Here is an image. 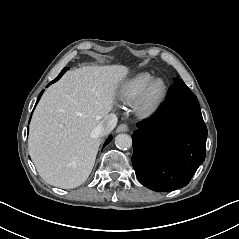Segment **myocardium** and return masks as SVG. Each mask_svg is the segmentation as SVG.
Returning <instances> with one entry per match:
<instances>
[{
  "label": "myocardium",
  "instance_id": "1",
  "mask_svg": "<svg viewBox=\"0 0 239 239\" xmlns=\"http://www.w3.org/2000/svg\"><path fill=\"white\" fill-rule=\"evenodd\" d=\"M163 83V92L158 100L154 104L149 103V97L154 86L159 83ZM169 95V85L163 78H154L142 91L134 104L135 115L143 120H149L159 114L165 105Z\"/></svg>",
  "mask_w": 239,
  "mask_h": 239
}]
</instances>
